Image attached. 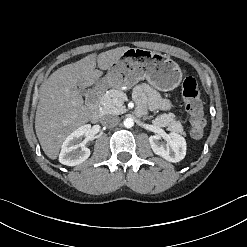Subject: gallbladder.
<instances>
[{
  "instance_id": "bac80fb5",
  "label": "gallbladder",
  "mask_w": 247,
  "mask_h": 247,
  "mask_svg": "<svg viewBox=\"0 0 247 247\" xmlns=\"http://www.w3.org/2000/svg\"><path fill=\"white\" fill-rule=\"evenodd\" d=\"M79 92L82 96L86 95V90L84 88H79Z\"/></svg>"
}]
</instances>
